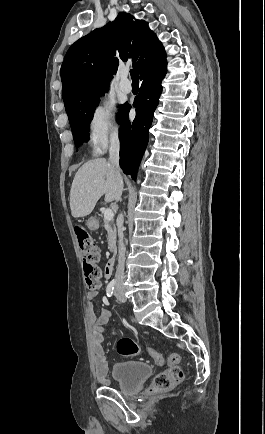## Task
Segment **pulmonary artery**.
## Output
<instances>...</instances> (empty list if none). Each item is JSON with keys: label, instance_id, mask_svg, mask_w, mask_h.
Wrapping results in <instances>:
<instances>
[{"label": "pulmonary artery", "instance_id": "1", "mask_svg": "<svg viewBox=\"0 0 265 434\" xmlns=\"http://www.w3.org/2000/svg\"><path fill=\"white\" fill-rule=\"evenodd\" d=\"M128 78H129V73L125 72L122 76V80H128ZM119 88L123 93L128 94L131 92L133 88V83L132 81H120Z\"/></svg>", "mask_w": 265, "mask_h": 434}]
</instances>
